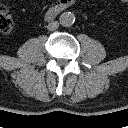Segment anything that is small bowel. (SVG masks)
<instances>
[{
    "label": "small bowel",
    "mask_w": 128,
    "mask_h": 128,
    "mask_svg": "<svg viewBox=\"0 0 128 128\" xmlns=\"http://www.w3.org/2000/svg\"><path fill=\"white\" fill-rule=\"evenodd\" d=\"M121 2H128V0H120Z\"/></svg>",
    "instance_id": "small-bowel-1"
}]
</instances>
